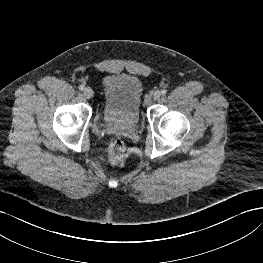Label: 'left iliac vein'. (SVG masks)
I'll use <instances>...</instances> for the list:
<instances>
[{
    "label": "left iliac vein",
    "mask_w": 263,
    "mask_h": 263,
    "mask_svg": "<svg viewBox=\"0 0 263 263\" xmlns=\"http://www.w3.org/2000/svg\"><path fill=\"white\" fill-rule=\"evenodd\" d=\"M160 96H161V93L159 91H156V92H154L152 98H153V100L156 101L160 98Z\"/></svg>",
    "instance_id": "4c4485c4"
}]
</instances>
